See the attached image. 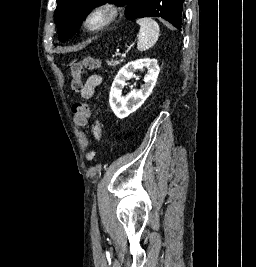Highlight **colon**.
<instances>
[{
	"mask_svg": "<svg viewBox=\"0 0 256 267\" xmlns=\"http://www.w3.org/2000/svg\"><path fill=\"white\" fill-rule=\"evenodd\" d=\"M99 65V60L92 56H87L70 62L67 69L70 77L71 89L74 92H80L84 87L82 81L84 74L87 71L97 69ZM71 110L76 125L80 128L85 127L92 113L91 106L88 103L78 101L72 104ZM93 156V152H89L87 155L89 160H91Z\"/></svg>",
	"mask_w": 256,
	"mask_h": 267,
	"instance_id": "obj_1",
	"label": "colon"
}]
</instances>
